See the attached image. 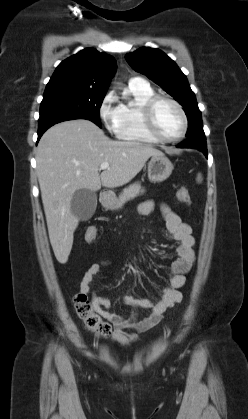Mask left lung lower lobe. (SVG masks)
<instances>
[{
	"label": "left lung lower lobe",
	"instance_id": "0a47b994",
	"mask_svg": "<svg viewBox=\"0 0 248 419\" xmlns=\"http://www.w3.org/2000/svg\"><path fill=\"white\" fill-rule=\"evenodd\" d=\"M178 148H194L198 149L203 154L208 157L207 154V145H206V138L205 135H194L191 136L189 139L183 141L179 145H177Z\"/></svg>",
	"mask_w": 248,
	"mask_h": 419
}]
</instances>
